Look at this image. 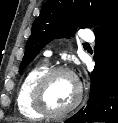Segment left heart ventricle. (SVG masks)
I'll return each instance as SVG.
<instances>
[{
	"label": "left heart ventricle",
	"mask_w": 118,
	"mask_h": 123,
	"mask_svg": "<svg viewBox=\"0 0 118 123\" xmlns=\"http://www.w3.org/2000/svg\"><path fill=\"white\" fill-rule=\"evenodd\" d=\"M77 94L76 83L66 73H61L52 78L47 92L46 100L49 106L56 110H62L69 106Z\"/></svg>",
	"instance_id": "b2bd125f"
}]
</instances>
